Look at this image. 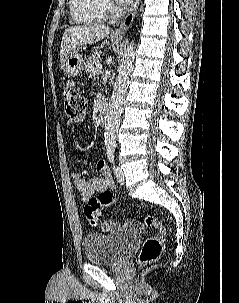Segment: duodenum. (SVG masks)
<instances>
[{
  "mask_svg": "<svg viewBox=\"0 0 239 303\" xmlns=\"http://www.w3.org/2000/svg\"><path fill=\"white\" fill-rule=\"evenodd\" d=\"M97 120H98V124L100 126H103L105 124V120H106V111L105 110H101L99 112Z\"/></svg>",
  "mask_w": 239,
  "mask_h": 303,
  "instance_id": "410a0bca",
  "label": "duodenum"
}]
</instances>
